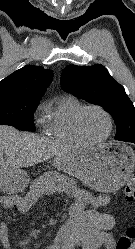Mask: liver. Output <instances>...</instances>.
<instances>
[{
	"instance_id": "6515ba94",
	"label": "liver",
	"mask_w": 135,
	"mask_h": 249,
	"mask_svg": "<svg viewBox=\"0 0 135 249\" xmlns=\"http://www.w3.org/2000/svg\"><path fill=\"white\" fill-rule=\"evenodd\" d=\"M77 147L0 125V167L17 169L63 156Z\"/></svg>"
}]
</instances>
